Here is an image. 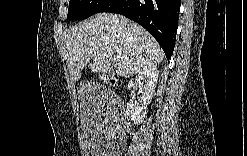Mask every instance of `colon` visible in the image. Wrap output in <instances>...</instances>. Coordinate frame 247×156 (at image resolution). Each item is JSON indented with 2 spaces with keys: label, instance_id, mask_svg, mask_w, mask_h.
I'll return each mask as SVG.
<instances>
[{
  "label": "colon",
  "instance_id": "colon-1",
  "mask_svg": "<svg viewBox=\"0 0 247 156\" xmlns=\"http://www.w3.org/2000/svg\"><path fill=\"white\" fill-rule=\"evenodd\" d=\"M106 82L113 87H118L120 85L118 79L113 77H106Z\"/></svg>",
  "mask_w": 247,
  "mask_h": 156
}]
</instances>
